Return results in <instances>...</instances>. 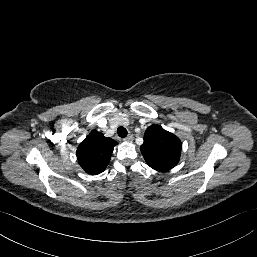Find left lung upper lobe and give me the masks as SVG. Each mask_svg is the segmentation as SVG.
<instances>
[{
	"instance_id": "left-lung-upper-lobe-1",
	"label": "left lung upper lobe",
	"mask_w": 257,
	"mask_h": 257,
	"mask_svg": "<svg viewBox=\"0 0 257 257\" xmlns=\"http://www.w3.org/2000/svg\"><path fill=\"white\" fill-rule=\"evenodd\" d=\"M181 148L182 144L178 137L160 125L153 124L147 128L140 150L151 168L164 172L178 164Z\"/></svg>"
}]
</instances>
